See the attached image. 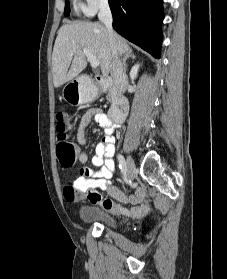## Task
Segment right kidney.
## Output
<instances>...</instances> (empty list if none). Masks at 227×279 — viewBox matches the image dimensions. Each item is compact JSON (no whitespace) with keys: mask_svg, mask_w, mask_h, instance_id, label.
<instances>
[{"mask_svg":"<svg viewBox=\"0 0 227 279\" xmlns=\"http://www.w3.org/2000/svg\"><path fill=\"white\" fill-rule=\"evenodd\" d=\"M139 67H140V64H136L132 67V69L130 71V77L132 80H134L137 77Z\"/></svg>","mask_w":227,"mask_h":279,"instance_id":"ca27d5eb","label":"right kidney"}]
</instances>
